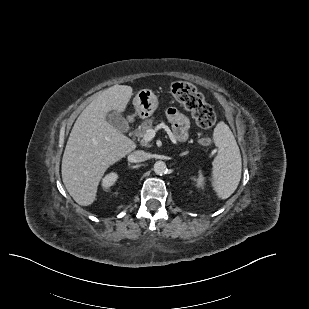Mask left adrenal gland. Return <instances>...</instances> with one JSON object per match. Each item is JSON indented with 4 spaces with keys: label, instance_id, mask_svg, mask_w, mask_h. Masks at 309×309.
<instances>
[{
    "label": "left adrenal gland",
    "instance_id": "a2214340",
    "mask_svg": "<svg viewBox=\"0 0 309 309\" xmlns=\"http://www.w3.org/2000/svg\"><path fill=\"white\" fill-rule=\"evenodd\" d=\"M186 154H187V152H184V153L180 154V156H184V155H186Z\"/></svg>",
    "mask_w": 309,
    "mask_h": 309
}]
</instances>
